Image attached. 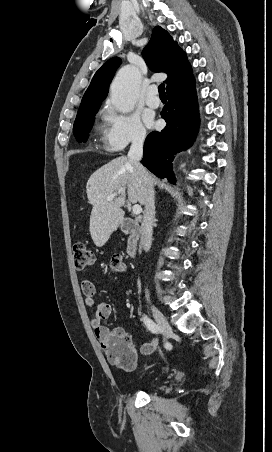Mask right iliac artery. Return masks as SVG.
Instances as JSON below:
<instances>
[{
    "label": "right iliac artery",
    "instance_id": "82829eb1",
    "mask_svg": "<svg viewBox=\"0 0 272 452\" xmlns=\"http://www.w3.org/2000/svg\"><path fill=\"white\" fill-rule=\"evenodd\" d=\"M143 322L145 324V326L152 332L155 334L159 333V327L156 323H154L149 317H147L146 315L143 317Z\"/></svg>",
    "mask_w": 272,
    "mask_h": 452
}]
</instances>
